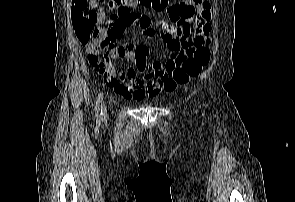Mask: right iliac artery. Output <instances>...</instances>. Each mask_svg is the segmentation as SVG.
<instances>
[{
  "mask_svg": "<svg viewBox=\"0 0 295 202\" xmlns=\"http://www.w3.org/2000/svg\"><path fill=\"white\" fill-rule=\"evenodd\" d=\"M102 100H103V96L100 93L97 97L96 106H95L97 118H101V115H102Z\"/></svg>",
  "mask_w": 295,
  "mask_h": 202,
  "instance_id": "1",
  "label": "right iliac artery"
}]
</instances>
